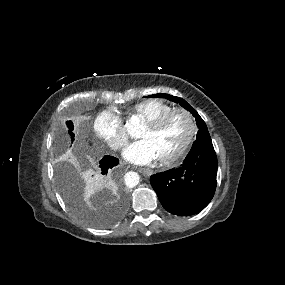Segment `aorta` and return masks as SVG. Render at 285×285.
Listing matches in <instances>:
<instances>
[{"label": "aorta", "mask_w": 285, "mask_h": 285, "mask_svg": "<svg viewBox=\"0 0 285 285\" xmlns=\"http://www.w3.org/2000/svg\"><path fill=\"white\" fill-rule=\"evenodd\" d=\"M140 177L136 172H128L125 175V183L128 187H135L139 184Z\"/></svg>", "instance_id": "aorta-1"}]
</instances>
